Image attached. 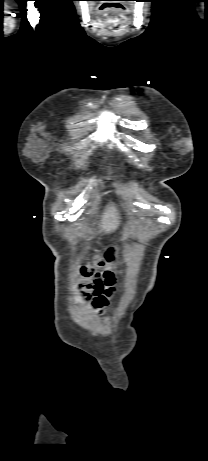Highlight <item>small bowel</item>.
Segmentation results:
<instances>
[{"label": "small bowel", "mask_w": 208, "mask_h": 461, "mask_svg": "<svg viewBox=\"0 0 208 461\" xmlns=\"http://www.w3.org/2000/svg\"><path fill=\"white\" fill-rule=\"evenodd\" d=\"M115 295L114 280H105L102 293L97 296L93 303L92 307L96 314L103 317L104 321H107L105 315V308Z\"/></svg>", "instance_id": "obj_1"}]
</instances>
